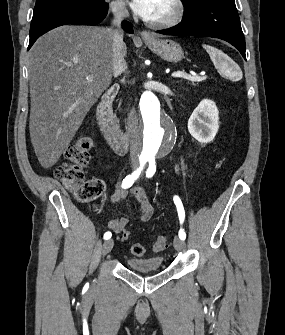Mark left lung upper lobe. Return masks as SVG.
I'll return each mask as SVG.
<instances>
[{
  "mask_svg": "<svg viewBox=\"0 0 285 335\" xmlns=\"http://www.w3.org/2000/svg\"><path fill=\"white\" fill-rule=\"evenodd\" d=\"M199 0H182L184 7L192 6L197 3Z\"/></svg>",
  "mask_w": 285,
  "mask_h": 335,
  "instance_id": "1",
  "label": "left lung upper lobe"
}]
</instances>
